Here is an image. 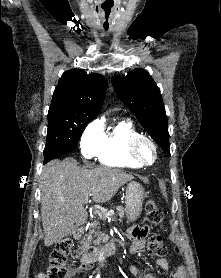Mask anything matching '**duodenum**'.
<instances>
[{
	"instance_id": "410a0bca",
	"label": "duodenum",
	"mask_w": 221,
	"mask_h": 278,
	"mask_svg": "<svg viewBox=\"0 0 221 278\" xmlns=\"http://www.w3.org/2000/svg\"><path fill=\"white\" fill-rule=\"evenodd\" d=\"M84 230L82 228H78L74 234L75 238H80L83 234ZM117 243L113 240L107 241L102 249V252L105 256L114 255L117 252ZM100 253L98 250H94L92 252H88L83 255L81 258L82 268L85 270H90L93 268L94 263L98 260Z\"/></svg>"
}]
</instances>
